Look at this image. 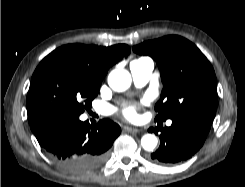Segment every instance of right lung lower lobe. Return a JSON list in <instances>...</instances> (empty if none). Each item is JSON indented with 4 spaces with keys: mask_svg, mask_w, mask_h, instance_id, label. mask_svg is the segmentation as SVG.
<instances>
[{
    "mask_svg": "<svg viewBox=\"0 0 245 187\" xmlns=\"http://www.w3.org/2000/svg\"><path fill=\"white\" fill-rule=\"evenodd\" d=\"M40 146L59 166L71 172L99 167L121 132L119 125L103 119L97 125L79 120V115L54 113L30 124Z\"/></svg>",
    "mask_w": 245,
    "mask_h": 187,
    "instance_id": "98d812e1",
    "label": "right lung lower lobe"
}]
</instances>
